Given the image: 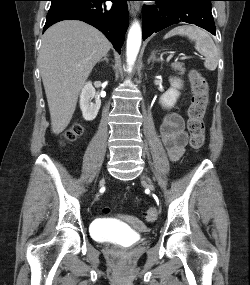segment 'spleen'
Returning <instances> with one entry per match:
<instances>
[{
  "instance_id": "obj_1",
  "label": "spleen",
  "mask_w": 250,
  "mask_h": 285,
  "mask_svg": "<svg viewBox=\"0 0 250 285\" xmlns=\"http://www.w3.org/2000/svg\"><path fill=\"white\" fill-rule=\"evenodd\" d=\"M175 35L185 36L195 42V49L205 56L204 66L206 69L214 71L217 68L219 61L218 49L206 31L195 26H178L169 31L164 38L167 39Z\"/></svg>"
}]
</instances>
